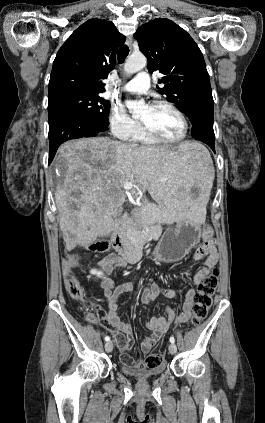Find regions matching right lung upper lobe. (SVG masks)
<instances>
[{
	"instance_id": "1",
	"label": "right lung upper lobe",
	"mask_w": 265,
	"mask_h": 423,
	"mask_svg": "<svg viewBox=\"0 0 265 423\" xmlns=\"http://www.w3.org/2000/svg\"><path fill=\"white\" fill-rule=\"evenodd\" d=\"M125 37L105 19L93 18L78 27L59 49L53 62L48 97L83 91L101 94L103 79L116 64L117 48Z\"/></svg>"
}]
</instances>
